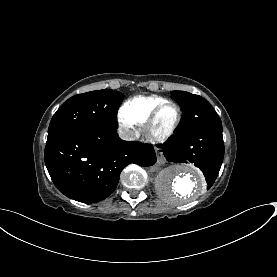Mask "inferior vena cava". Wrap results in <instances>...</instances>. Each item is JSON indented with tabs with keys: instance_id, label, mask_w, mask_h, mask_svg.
<instances>
[{
	"instance_id": "inferior-vena-cava-1",
	"label": "inferior vena cava",
	"mask_w": 277,
	"mask_h": 277,
	"mask_svg": "<svg viewBox=\"0 0 277 277\" xmlns=\"http://www.w3.org/2000/svg\"><path fill=\"white\" fill-rule=\"evenodd\" d=\"M118 134L122 140H134L135 139L134 132L129 129L119 128Z\"/></svg>"
}]
</instances>
